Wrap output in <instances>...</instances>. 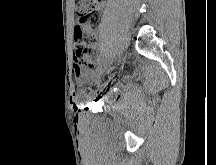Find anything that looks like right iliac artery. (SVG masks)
I'll return each instance as SVG.
<instances>
[{
  "instance_id": "82829eb1",
  "label": "right iliac artery",
  "mask_w": 216,
  "mask_h": 165,
  "mask_svg": "<svg viewBox=\"0 0 216 165\" xmlns=\"http://www.w3.org/2000/svg\"><path fill=\"white\" fill-rule=\"evenodd\" d=\"M113 53L110 51L109 53H107L106 54V56L103 58L104 60H103V63L104 64H111V59H110V57H111V55H112Z\"/></svg>"
}]
</instances>
